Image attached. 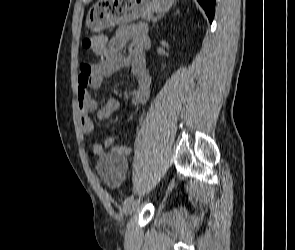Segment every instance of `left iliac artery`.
<instances>
[{
    "label": "left iliac artery",
    "instance_id": "1",
    "mask_svg": "<svg viewBox=\"0 0 295 250\" xmlns=\"http://www.w3.org/2000/svg\"><path fill=\"white\" fill-rule=\"evenodd\" d=\"M133 199H134V196L133 195L127 197L125 199L124 203H123V208H125L126 206H128L133 201Z\"/></svg>",
    "mask_w": 295,
    "mask_h": 250
}]
</instances>
